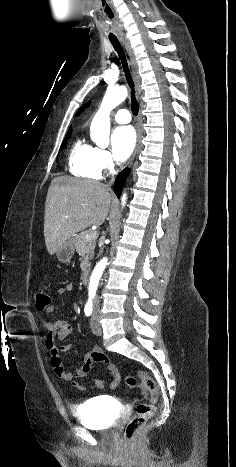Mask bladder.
Segmentation results:
<instances>
[{"label":"bladder","instance_id":"obj_1","mask_svg":"<svg viewBox=\"0 0 236 467\" xmlns=\"http://www.w3.org/2000/svg\"><path fill=\"white\" fill-rule=\"evenodd\" d=\"M114 405L103 396L88 399L80 407L73 408L74 416L90 428L106 429L113 426L109 412Z\"/></svg>","mask_w":236,"mask_h":467}]
</instances>
